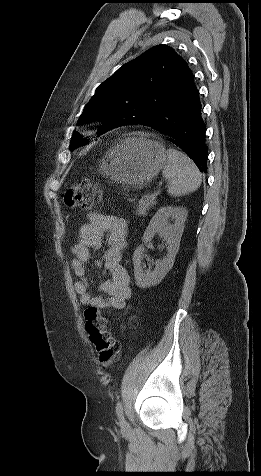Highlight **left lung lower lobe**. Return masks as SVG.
<instances>
[{
	"label": "left lung lower lobe",
	"mask_w": 261,
	"mask_h": 476,
	"mask_svg": "<svg viewBox=\"0 0 261 476\" xmlns=\"http://www.w3.org/2000/svg\"><path fill=\"white\" fill-rule=\"evenodd\" d=\"M142 125L165 135L174 146L182 149L201 169L207 170L208 149L206 126L198 89L193 82L189 89L159 115Z\"/></svg>",
	"instance_id": "1"
}]
</instances>
